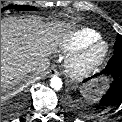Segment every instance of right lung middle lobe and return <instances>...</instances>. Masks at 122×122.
<instances>
[{
	"instance_id": "1",
	"label": "right lung middle lobe",
	"mask_w": 122,
	"mask_h": 122,
	"mask_svg": "<svg viewBox=\"0 0 122 122\" xmlns=\"http://www.w3.org/2000/svg\"><path fill=\"white\" fill-rule=\"evenodd\" d=\"M5 9H17V10H36L33 6H22V5H9L1 9V12Z\"/></svg>"
}]
</instances>
